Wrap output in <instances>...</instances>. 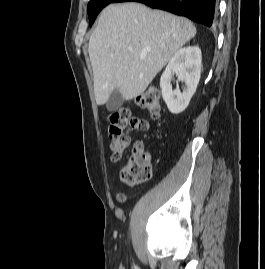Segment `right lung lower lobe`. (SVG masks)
<instances>
[{
  "label": "right lung lower lobe",
  "instance_id": "1",
  "mask_svg": "<svg viewBox=\"0 0 265 269\" xmlns=\"http://www.w3.org/2000/svg\"><path fill=\"white\" fill-rule=\"evenodd\" d=\"M116 2H140L151 8L188 17L208 27L212 25L216 13V0H114L112 3Z\"/></svg>",
  "mask_w": 265,
  "mask_h": 269
}]
</instances>
